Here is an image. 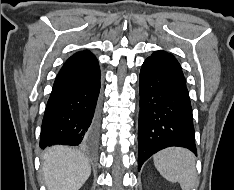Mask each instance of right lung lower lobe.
Listing matches in <instances>:
<instances>
[{
  "mask_svg": "<svg viewBox=\"0 0 234 190\" xmlns=\"http://www.w3.org/2000/svg\"><path fill=\"white\" fill-rule=\"evenodd\" d=\"M100 69L84 50L72 55L58 73L46 105L40 147L93 144L98 135Z\"/></svg>",
  "mask_w": 234,
  "mask_h": 190,
  "instance_id": "98d812e1",
  "label": "right lung lower lobe"
}]
</instances>
